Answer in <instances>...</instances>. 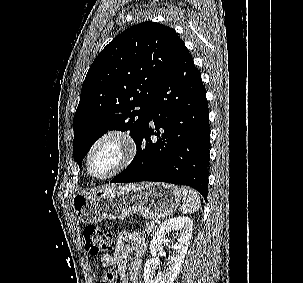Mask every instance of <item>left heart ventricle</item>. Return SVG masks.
Listing matches in <instances>:
<instances>
[{
    "label": "left heart ventricle",
    "instance_id": "left-heart-ventricle-1",
    "mask_svg": "<svg viewBox=\"0 0 303 283\" xmlns=\"http://www.w3.org/2000/svg\"><path fill=\"white\" fill-rule=\"evenodd\" d=\"M120 146L114 141L102 143L93 153L90 161V170L94 175L107 174L120 159Z\"/></svg>",
    "mask_w": 303,
    "mask_h": 283
}]
</instances>
